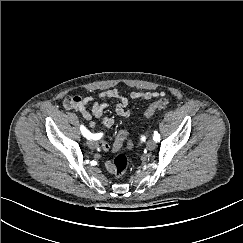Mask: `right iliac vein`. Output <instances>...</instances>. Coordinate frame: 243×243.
Masks as SVG:
<instances>
[{
  "label": "right iliac vein",
  "mask_w": 243,
  "mask_h": 243,
  "mask_svg": "<svg viewBox=\"0 0 243 243\" xmlns=\"http://www.w3.org/2000/svg\"><path fill=\"white\" fill-rule=\"evenodd\" d=\"M88 146L91 148V149H95L97 146H98V142L94 139H90L88 142H87Z\"/></svg>",
  "instance_id": "63e3f726"
}]
</instances>
